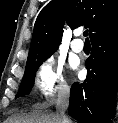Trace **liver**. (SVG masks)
Listing matches in <instances>:
<instances>
[{
  "mask_svg": "<svg viewBox=\"0 0 118 123\" xmlns=\"http://www.w3.org/2000/svg\"><path fill=\"white\" fill-rule=\"evenodd\" d=\"M5 123H61V119L53 113H35L28 116H11Z\"/></svg>",
  "mask_w": 118,
  "mask_h": 123,
  "instance_id": "liver-1",
  "label": "liver"
}]
</instances>
